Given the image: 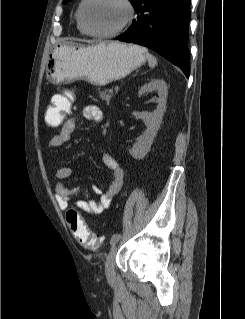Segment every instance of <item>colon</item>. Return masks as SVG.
<instances>
[{"label": "colon", "instance_id": "1", "mask_svg": "<svg viewBox=\"0 0 245 319\" xmlns=\"http://www.w3.org/2000/svg\"><path fill=\"white\" fill-rule=\"evenodd\" d=\"M71 105L68 95L58 94L54 97L52 105L45 113V121L51 127H59L63 124ZM66 219L70 230L78 242L85 248L96 251L101 246V238L92 233L85 224L80 213L75 208H70L66 213Z\"/></svg>", "mask_w": 245, "mask_h": 319}]
</instances>
